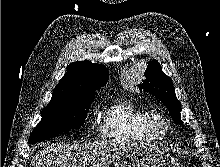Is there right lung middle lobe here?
Returning <instances> with one entry per match:
<instances>
[{"label":"right lung middle lobe","mask_w":220,"mask_h":167,"mask_svg":"<svg viewBox=\"0 0 220 167\" xmlns=\"http://www.w3.org/2000/svg\"><path fill=\"white\" fill-rule=\"evenodd\" d=\"M95 95H76L51 100L42 111V119L32 132L29 143L46 140L83 125Z\"/></svg>","instance_id":"dd1d6c3e"}]
</instances>
